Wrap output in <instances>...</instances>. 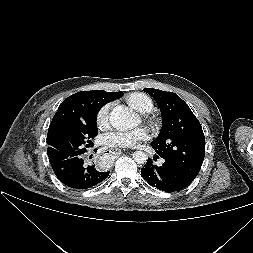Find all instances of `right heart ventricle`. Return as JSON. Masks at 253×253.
Returning <instances> with one entry per match:
<instances>
[{"label": "right heart ventricle", "mask_w": 253, "mask_h": 253, "mask_svg": "<svg viewBox=\"0 0 253 253\" xmlns=\"http://www.w3.org/2000/svg\"><path fill=\"white\" fill-rule=\"evenodd\" d=\"M126 100L132 108L143 114L149 113L154 107L151 97L142 92L131 93Z\"/></svg>", "instance_id": "e07e8e85"}]
</instances>
